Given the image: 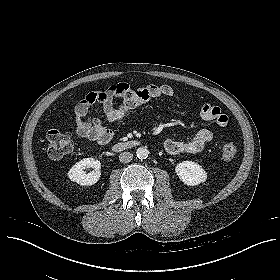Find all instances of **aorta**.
Returning a JSON list of instances; mask_svg holds the SVG:
<instances>
[{
	"instance_id": "762f6f07",
	"label": "aorta",
	"mask_w": 280,
	"mask_h": 280,
	"mask_svg": "<svg viewBox=\"0 0 280 280\" xmlns=\"http://www.w3.org/2000/svg\"><path fill=\"white\" fill-rule=\"evenodd\" d=\"M136 155L138 157V159L140 160H144L148 157L149 155V151L146 147H139L137 150H136Z\"/></svg>"
}]
</instances>
